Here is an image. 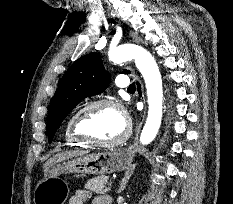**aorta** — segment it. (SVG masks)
<instances>
[{
    "label": "aorta",
    "instance_id": "762f6f07",
    "mask_svg": "<svg viewBox=\"0 0 233 204\" xmlns=\"http://www.w3.org/2000/svg\"><path fill=\"white\" fill-rule=\"evenodd\" d=\"M113 63L134 60L147 89L148 117L140 135V143L148 145L156 137L162 120L163 90L159 68L152 55L139 45L124 44L108 53Z\"/></svg>",
    "mask_w": 233,
    "mask_h": 204
}]
</instances>
